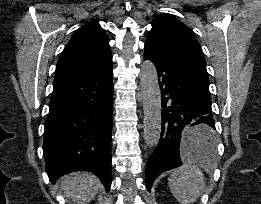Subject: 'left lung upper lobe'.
Returning <instances> with one entry per match:
<instances>
[{
	"mask_svg": "<svg viewBox=\"0 0 261 204\" xmlns=\"http://www.w3.org/2000/svg\"><path fill=\"white\" fill-rule=\"evenodd\" d=\"M147 42L176 51L206 71V61L193 31L181 21L167 16H158L152 23Z\"/></svg>",
	"mask_w": 261,
	"mask_h": 204,
	"instance_id": "left-lung-upper-lobe-1",
	"label": "left lung upper lobe"
}]
</instances>
